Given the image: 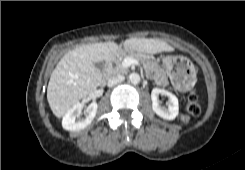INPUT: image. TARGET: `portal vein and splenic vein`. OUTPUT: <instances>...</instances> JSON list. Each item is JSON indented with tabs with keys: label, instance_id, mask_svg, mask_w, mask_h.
Returning a JSON list of instances; mask_svg holds the SVG:
<instances>
[{
	"label": "portal vein and splenic vein",
	"instance_id": "18ae733b",
	"mask_svg": "<svg viewBox=\"0 0 245 170\" xmlns=\"http://www.w3.org/2000/svg\"><path fill=\"white\" fill-rule=\"evenodd\" d=\"M139 64L140 63L136 59L131 57H126L122 62V66L125 68L130 67L131 65H139Z\"/></svg>",
	"mask_w": 245,
	"mask_h": 170
}]
</instances>
